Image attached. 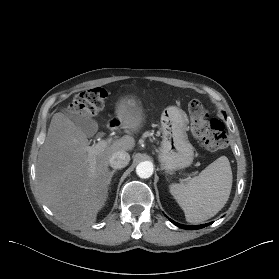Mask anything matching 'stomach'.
I'll list each match as a JSON object with an SVG mask.
<instances>
[{"mask_svg": "<svg viewBox=\"0 0 279 279\" xmlns=\"http://www.w3.org/2000/svg\"><path fill=\"white\" fill-rule=\"evenodd\" d=\"M188 118L176 106H169L161 115L162 142L158 158L166 172L189 166L194 158V148L188 140Z\"/></svg>", "mask_w": 279, "mask_h": 279, "instance_id": "0dacf381", "label": "stomach"}]
</instances>
